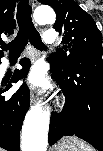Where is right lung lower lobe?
I'll use <instances>...</instances> for the list:
<instances>
[{"mask_svg":"<svg viewBox=\"0 0 103 151\" xmlns=\"http://www.w3.org/2000/svg\"><path fill=\"white\" fill-rule=\"evenodd\" d=\"M23 69L16 70L8 82L0 81V147L7 151H20V130L23 119L30 106V93L26 84H23L13 95L5 96L11 87V83L26 77L30 60L22 65Z\"/></svg>","mask_w":103,"mask_h":151,"instance_id":"obj_1","label":"right lung lower lobe"}]
</instances>
